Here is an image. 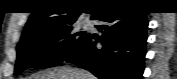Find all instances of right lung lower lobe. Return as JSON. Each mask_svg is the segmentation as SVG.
Instances as JSON below:
<instances>
[{
    "mask_svg": "<svg viewBox=\"0 0 177 79\" xmlns=\"http://www.w3.org/2000/svg\"><path fill=\"white\" fill-rule=\"evenodd\" d=\"M92 19L102 23L101 38L87 34L64 61L77 64L100 79H142L148 21L146 12L113 5ZM99 43L100 46H96Z\"/></svg>",
    "mask_w": 177,
    "mask_h": 79,
    "instance_id": "1",
    "label": "right lung lower lobe"
}]
</instances>
